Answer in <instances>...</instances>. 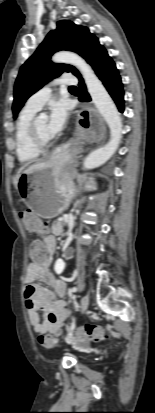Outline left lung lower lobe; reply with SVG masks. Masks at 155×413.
<instances>
[{
	"label": "left lung lower lobe",
	"mask_w": 155,
	"mask_h": 413,
	"mask_svg": "<svg viewBox=\"0 0 155 413\" xmlns=\"http://www.w3.org/2000/svg\"><path fill=\"white\" fill-rule=\"evenodd\" d=\"M92 68L94 69L96 75L99 79L103 82L104 86L106 87L107 91L115 101L118 110L123 113L124 111V91L123 85L121 82V77L119 72L116 68L115 63L109 57L105 48H103L96 58L91 63ZM79 87L82 91V95L79 97V100L82 102H89L91 100L89 94L86 91V87L82 77H78Z\"/></svg>",
	"instance_id": "0a47b994"
}]
</instances>
